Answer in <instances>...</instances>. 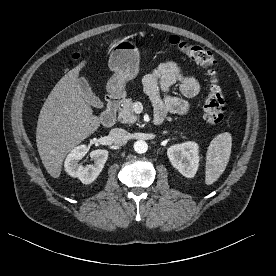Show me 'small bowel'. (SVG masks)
I'll return each instance as SVG.
<instances>
[{"label": "small bowel", "mask_w": 276, "mask_h": 276, "mask_svg": "<svg viewBox=\"0 0 276 276\" xmlns=\"http://www.w3.org/2000/svg\"><path fill=\"white\" fill-rule=\"evenodd\" d=\"M173 85H178L182 94L186 97H194L200 90L198 80L185 74L172 61L159 64L144 76V90L149 96L156 114L164 116L167 113L183 115L188 112L189 105L186 100L166 95Z\"/></svg>", "instance_id": "small-bowel-1"}]
</instances>
